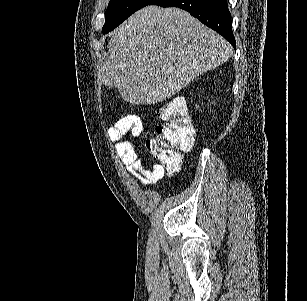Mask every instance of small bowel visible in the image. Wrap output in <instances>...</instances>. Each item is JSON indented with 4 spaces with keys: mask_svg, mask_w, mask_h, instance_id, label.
Masks as SVG:
<instances>
[{
    "mask_svg": "<svg viewBox=\"0 0 307 301\" xmlns=\"http://www.w3.org/2000/svg\"><path fill=\"white\" fill-rule=\"evenodd\" d=\"M143 122L139 116L132 115L118 120L108 129V137L115 145L116 154L131 175L142 185L149 186L164 176L163 167L155 164L146 168L139 160L134 144L124 137L129 134L135 138L141 135Z\"/></svg>",
    "mask_w": 307,
    "mask_h": 301,
    "instance_id": "1",
    "label": "small bowel"
}]
</instances>
